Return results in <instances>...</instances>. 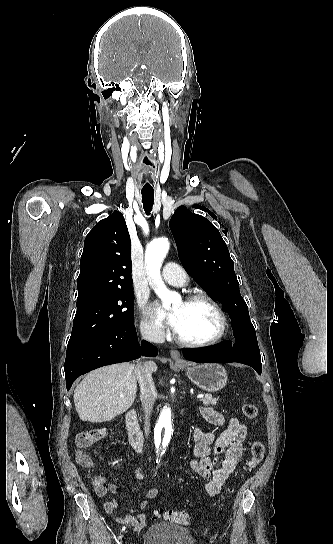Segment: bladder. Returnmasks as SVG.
<instances>
[{
	"mask_svg": "<svg viewBox=\"0 0 333 544\" xmlns=\"http://www.w3.org/2000/svg\"><path fill=\"white\" fill-rule=\"evenodd\" d=\"M142 544H193L188 529L171 523H156L149 526L143 536Z\"/></svg>",
	"mask_w": 333,
	"mask_h": 544,
	"instance_id": "bladder-1",
	"label": "bladder"
}]
</instances>
